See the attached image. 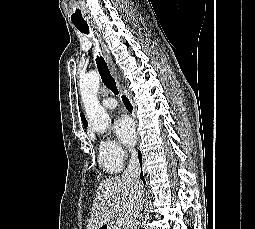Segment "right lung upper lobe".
Returning a JSON list of instances; mask_svg holds the SVG:
<instances>
[{
  "mask_svg": "<svg viewBox=\"0 0 255 229\" xmlns=\"http://www.w3.org/2000/svg\"><path fill=\"white\" fill-rule=\"evenodd\" d=\"M81 120H82V123H83V125L85 126V127H87V120H86V118H85V116L83 115V113L81 114Z\"/></svg>",
  "mask_w": 255,
  "mask_h": 229,
  "instance_id": "1",
  "label": "right lung upper lobe"
}]
</instances>
